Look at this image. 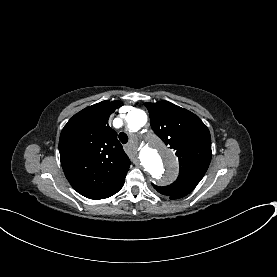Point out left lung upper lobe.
Segmentation results:
<instances>
[{"instance_id": "obj_1", "label": "left lung upper lobe", "mask_w": 277, "mask_h": 277, "mask_svg": "<svg viewBox=\"0 0 277 277\" xmlns=\"http://www.w3.org/2000/svg\"><path fill=\"white\" fill-rule=\"evenodd\" d=\"M155 134L179 159L177 180L165 187L153 185L170 199H179L196 187L203 178L211 161V136L206 125L192 112L168 101L145 103Z\"/></svg>"}]
</instances>
